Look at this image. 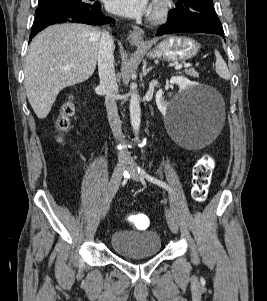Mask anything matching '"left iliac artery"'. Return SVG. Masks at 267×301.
Returning <instances> with one entry per match:
<instances>
[{
  "label": "left iliac artery",
  "instance_id": "left-iliac-artery-1",
  "mask_svg": "<svg viewBox=\"0 0 267 301\" xmlns=\"http://www.w3.org/2000/svg\"><path fill=\"white\" fill-rule=\"evenodd\" d=\"M138 173H140L142 176H144L147 180H149L150 182L168 190L169 192H172V189L169 187L168 184H166L165 182L158 180L156 178H154L153 176L147 174L144 169H142L141 167H138Z\"/></svg>",
  "mask_w": 267,
  "mask_h": 301
}]
</instances>
